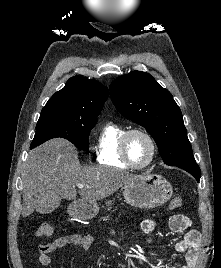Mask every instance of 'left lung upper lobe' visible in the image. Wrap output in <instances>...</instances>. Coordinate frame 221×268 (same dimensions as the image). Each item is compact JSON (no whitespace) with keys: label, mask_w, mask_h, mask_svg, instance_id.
Wrapping results in <instances>:
<instances>
[{"label":"left lung upper lobe","mask_w":221,"mask_h":268,"mask_svg":"<svg viewBox=\"0 0 221 268\" xmlns=\"http://www.w3.org/2000/svg\"><path fill=\"white\" fill-rule=\"evenodd\" d=\"M110 93L117 110L154 138L165 164L196 162L180 108L149 73L133 71L118 77Z\"/></svg>","instance_id":"left-lung-upper-lobe-1"}]
</instances>
